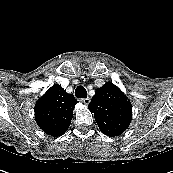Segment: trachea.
<instances>
[{"label":"trachea","instance_id":"obj_1","mask_svg":"<svg viewBox=\"0 0 173 173\" xmlns=\"http://www.w3.org/2000/svg\"><path fill=\"white\" fill-rule=\"evenodd\" d=\"M75 95L77 98H86L87 91L83 86H78L75 90Z\"/></svg>","mask_w":173,"mask_h":173}]
</instances>
